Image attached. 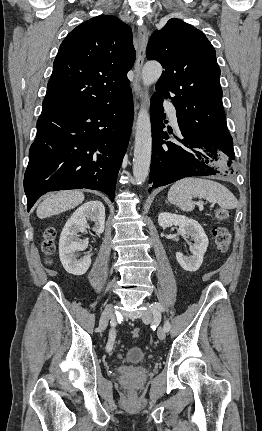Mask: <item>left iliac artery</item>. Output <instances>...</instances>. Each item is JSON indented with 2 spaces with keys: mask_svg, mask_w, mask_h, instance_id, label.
<instances>
[{
  "mask_svg": "<svg viewBox=\"0 0 262 431\" xmlns=\"http://www.w3.org/2000/svg\"><path fill=\"white\" fill-rule=\"evenodd\" d=\"M151 307H152V311L155 313V315L157 314L158 311H164V308L160 303H156V302L152 303ZM170 328H171V325H170L169 321L166 320L165 324H164V330L166 332H168L170 330Z\"/></svg>",
  "mask_w": 262,
  "mask_h": 431,
  "instance_id": "44dca946",
  "label": "left iliac artery"
}]
</instances>
